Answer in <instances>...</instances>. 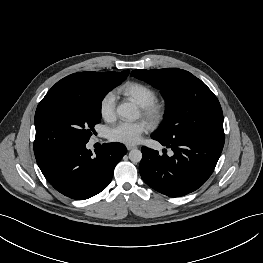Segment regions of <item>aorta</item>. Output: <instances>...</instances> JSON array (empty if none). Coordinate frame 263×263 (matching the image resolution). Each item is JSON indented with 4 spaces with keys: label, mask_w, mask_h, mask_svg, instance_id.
Masks as SVG:
<instances>
[{
    "label": "aorta",
    "mask_w": 263,
    "mask_h": 263,
    "mask_svg": "<svg viewBox=\"0 0 263 263\" xmlns=\"http://www.w3.org/2000/svg\"><path fill=\"white\" fill-rule=\"evenodd\" d=\"M117 114L122 117L129 120L137 119L139 116V112L135 105L132 103H123L117 107ZM129 159L132 162H140L142 159V152L138 149H132L129 152Z\"/></svg>",
    "instance_id": "1"
}]
</instances>
